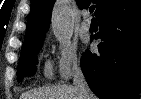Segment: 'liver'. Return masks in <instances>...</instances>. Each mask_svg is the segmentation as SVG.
Here are the masks:
<instances>
[{
	"label": "liver",
	"mask_w": 141,
	"mask_h": 99,
	"mask_svg": "<svg viewBox=\"0 0 141 99\" xmlns=\"http://www.w3.org/2000/svg\"><path fill=\"white\" fill-rule=\"evenodd\" d=\"M20 99H80L73 85L35 88L24 92Z\"/></svg>",
	"instance_id": "liver-1"
}]
</instances>
